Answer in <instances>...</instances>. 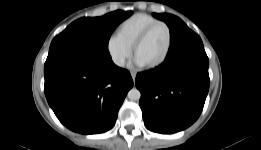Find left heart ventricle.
<instances>
[{"instance_id":"left-heart-ventricle-1","label":"left heart ventricle","mask_w":261,"mask_h":150,"mask_svg":"<svg viewBox=\"0 0 261 150\" xmlns=\"http://www.w3.org/2000/svg\"><path fill=\"white\" fill-rule=\"evenodd\" d=\"M168 45V33L165 27L157 26L139 46L136 57L145 66L151 65L160 60L166 52Z\"/></svg>"}]
</instances>
